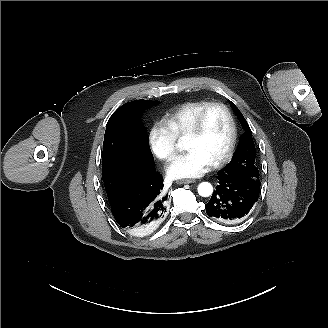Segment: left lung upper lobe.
Wrapping results in <instances>:
<instances>
[{
    "mask_svg": "<svg viewBox=\"0 0 328 328\" xmlns=\"http://www.w3.org/2000/svg\"><path fill=\"white\" fill-rule=\"evenodd\" d=\"M230 104L240 123L246 129V133L242 137L231 162L222 171L227 174H242L259 178V171L255 162L256 150L250 127L235 104L232 102Z\"/></svg>",
    "mask_w": 328,
    "mask_h": 328,
    "instance_id": "left-lung-upper-lobe-1",
    "label": "left lung upper lobe"
}]
</instances>
